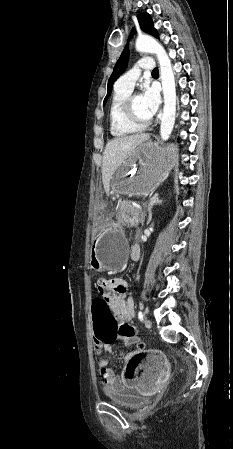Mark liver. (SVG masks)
I'll return each mask as SVG.
<instances>
[{
	"mask_svg": "<svg viewBox=\"0 0 233 449\" xmlns=\"http://www.w3.org/2000/svg\"><path fill=\"white\" fill-rule=\"evenodd\" d=\"M150 138L148 133L117 137L109 141L103 153L102 181L104 190L110 193L111 179L116 170L134 153L136 148Z\"/></svg>",
	"mask_w": 233,
	"mask_h": 449,
	"instance_id": "6515ba94",
	"label": "liver"
}]
</instances>
